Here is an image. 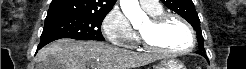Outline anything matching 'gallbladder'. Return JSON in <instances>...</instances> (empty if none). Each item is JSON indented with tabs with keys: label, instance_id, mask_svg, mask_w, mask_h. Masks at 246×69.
I'll list each match as a JSON object with an SVG mask.
<instances>
[{
	"label": "gallbladder",
	"instance_id": "bac80fb5",
	"mask_svg": "<svg viewBox=\"0 0 246 69\" xmlns=\"http://www.w3.org/2000/svg\"><path fill=\"white\" fill-rule=\"evenodd\" d=\"M37 69H64V67L60 64L55 63V59L52 55H49L42 67H37Z\"/></svg>",
	"mask_w": 246,
	"mask_h": 69
}]
</instances>
